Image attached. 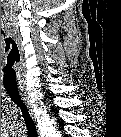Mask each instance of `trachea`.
I'll return each mask as SVG.
<instances>
[{
    "label": "trachea",
    "mask_w": 121,
    "mask_h": 137,
    "mask_svg": "<svg viewBox=\"0 0 121 137\" xmlns=\"http://www.w3.org/2000/svg\"><path fill=\"white\" fill-rule=\"evenodd\" d=\"M7 41L10 48V53L3 65V85L11 100L18 107H20L27 126L31 127L34 125L33 120L30 117V114L23 103L17 88L18 73L16 71V65L20 61L19 48L12 34L8 35Z\"/></svg>",
    "instance_id": "trachea-1"
}]
</instances>
